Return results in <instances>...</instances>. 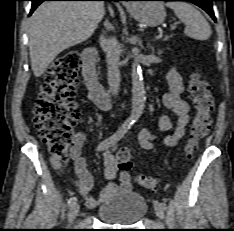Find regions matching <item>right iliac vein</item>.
Instances as JSON below:
<instances>
[{
	"instance_id": "1",
	"label": "right iliac vein",
	"mask_w": 234,
	"mask_h": 231,
	"mask_svg": "<svg viewBox=\"0 0 234 231\" xmlns=\"http://www.w3.org/2000/svg\"><path fill=\"white\" fill-rule=\"evenodd\" d=\"M79 209H80V206L78 203H75L73 204L71 207H70V210H69V213H68V220L69 222L71 223L75 217L78 215L79 213Z\"/></svg>"
}]
</instances>
